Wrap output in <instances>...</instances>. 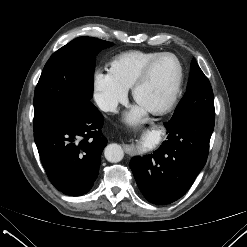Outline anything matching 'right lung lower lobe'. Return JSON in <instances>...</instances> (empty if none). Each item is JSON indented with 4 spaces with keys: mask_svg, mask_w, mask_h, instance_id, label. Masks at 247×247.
<instances>
[{
    "mask_svg": "<svg viewBox=\"0 0 247 247\" xmlns=\"http://www.w3.org/2000/svg\"><path fill=\"white\" fill-rule=\"evenodd\" d=\"M103 123L99 110L87 101L34 132L48 178L64 194L80 196L94 185L107 145Z\"/></svg>",
    "mask_w": 247,
    "mask_h": 247,
    "instance_id": "98d812e1",
    "label": "right lung lower lobe"
}]
</instances>
